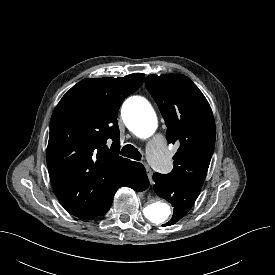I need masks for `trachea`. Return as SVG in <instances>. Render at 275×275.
<instances>
[{
  "mask_svg": "<svg viewBox=\"0 0 275 275\" xmlns=\"http://www.w3.org/2000/svg\"><path fill=\"white\" fill-rule=\"evenodd\" d=\"M120 154L122 156H126L128 158H131V159H134V160H137V161L141 160V154L138 151V149L135 148L134 146L130 145V144L125 145L122 148Z\"/></svg>",
  "mask_w": 275,
  "mask_h": 275,
  "instance_id": "3493384b",
  "label": "trachea"
}]
</instances>
